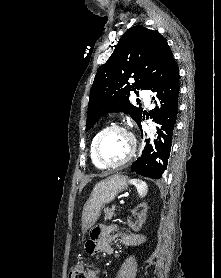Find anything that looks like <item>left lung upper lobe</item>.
Segmentation results:
<instances>
[{
	"instance_id": "obj_1",
	"label": "left lung upper lobe",
	"mask_w": 221,
	"mask_h": 278,
	"mask_svg": "<svg viewBox=\"0 0 221 278\" xmlns=\"http://www.w3.org/2000/svg\"><path fill=\"white\" fill-rule=\"evenodd\" d=\"M114 47L113 54L99 67L90 90L86 130L108 112L129 113L139 125L143 111L130 103L129 92L150 89L173 59L165 38L141 25L128 29ZM130 78L135 83H129Z\"/></svg>"
}]
</instances>
